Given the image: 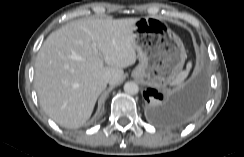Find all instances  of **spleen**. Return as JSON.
<instances>
[{
    "mask_svg": "<svg viewBox=\"0 0 244 157\" xmlns=\"http://www.w3.org/2000/svg\"><path fill=\"white\" fill-rule=\"evenodd\" d=\"M191 67H192V62L189 61L188 64H187L186 70L181 71L177 75V77L171 83H169V84L171 86L180 85L185 80V78L188 76Z\"/></svg>",
    "mask_w": 244,
    "mask_h": 157,
    "instance_id": "1",
    "label": "spleen"
}]
</instances>
